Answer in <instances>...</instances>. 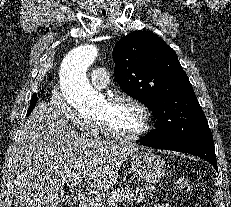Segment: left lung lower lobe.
Masks as SVG:
<instances>
[{
  "label": "left lung lower lobe",
  "instance_id": "obj_1",
  "mask_svg": "<svg viewBox=\"0 0 231 207\" xmlns=\"http://www.w3.org/2000/svg\"><path fill=\"white\" fill-rule=\"evenodd\" d=\"M140 142L142 145L148 147L197 155L212 164L213 167L218 171L213 137H196L190 140L169 145H158L154 142L148 141L145 138H142Z\"/></svg>",
  "mask_w": 231,
  "mask_h": 207
}]
</instances>
